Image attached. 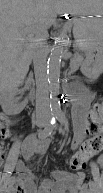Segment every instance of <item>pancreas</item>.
<instances>
[{
	"label": "pancreas",
	"mask_w": 103,
	"mask_h": 193,
	"mask_svg": "<svg viewBox=\"0 0 103 193\" xmlns=\"http://www.w3.org/2000/svg\"><path fill=\"white\" fill-rule=\"evenodd\" d=\"M77 57H78V58H81V55H80V54H77Z\"/></svg>",
	"instance_id": "pancreas-1"
}]
</instances>
